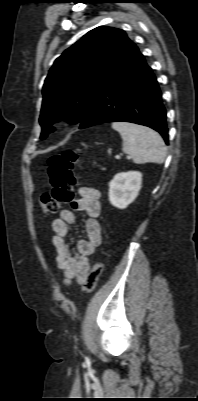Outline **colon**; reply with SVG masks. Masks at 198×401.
I'll return each mask as SVG.
<instances>
[{"label": "colon", "mask_w": 198, "mask_h": 401, "mask_svg": "<svg viewBox=\"0 0 198 401\" xmlns=\"http://www.w3.org/2000/svg\"><path fill=\"white\" fill-rule=\"evenodd\" d=\"M77 155L73 151H65L53 155L48 160L47 173L52 186V192L43 194L40 198L41 212L50 216L61 206L74 201V186L76 183L73 166ZM103 271L101 262L96 261L86 281V290L91 292L99 283Z\"/></svg>", "instance_id": "1"}]
</instances>
